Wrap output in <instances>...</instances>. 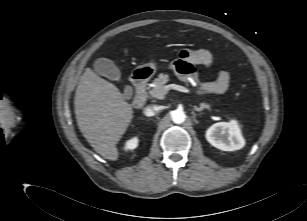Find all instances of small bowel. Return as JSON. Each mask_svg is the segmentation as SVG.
<instances>
[{"instance_id": "obj_1", "label": "small bowel", "mask_w": 307, "mask_h": 221, "mask_svg": "<svg viewBox=\"0 0 307 221\" xmlns=\"http://www.w3.org/2000/svg\"><path fill=\"white\" fill-rule=\"evenodd\" d=\"M213 64V56L207 49H184L180 60L173 64V69L179 75L193 74L194 65H202L207 68ZM230 82V75L226 71H220L216 80L205 83L202 88L204 91L215 94L224 93Z\"/></svg>"}]
</instances>
